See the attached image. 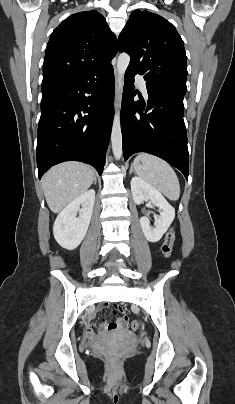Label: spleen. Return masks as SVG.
Returning <instances> with one entry per match:
<instances>
[{
	"mask_svg": "<svg viewBox=\"0 0 235 404\" xmlns=\"http://www.w3.org/2000/svg\"><path fill=\"white\" fill-rule=\"evenodd\" d=\"M134 162L142 163L136 172L144 181L161 191L168 199L172 201L179 199V180L167 162L148 153L139 154Z\"/></svg>",
	"mask_w": 235,
	"mask_h": 404,
	"instance_id": "spleen-1",
	"label": "spleen"
}]
</instances>
